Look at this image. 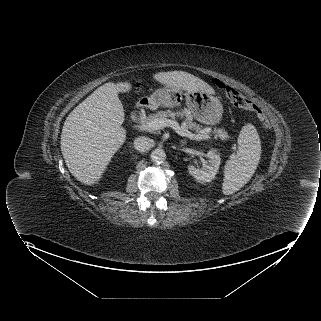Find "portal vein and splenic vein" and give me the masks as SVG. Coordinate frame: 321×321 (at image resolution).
<instances>
[{
    "instance_id": "obj_1",
    "label": "portal vein and splenic vein",
    "mask_w": 321,
    "mask_h": 321,
    "mask_svg": "<svg viewBox=\"0 0 321 321\" xmlns=\"http://www.w3.org/2000/svg\"><path fill=\"white\" fill-rule=\"evenodd\" d=\"M165 127L173 128L179 135L188 137L191 140H203L210 138L207 133L201 134H193L192 132L188 131L187 129H183L179 126L178 122L171 119H155L146 125H140V130H148V131H155L159 129H163Z\"/></svg>"
}]
</instances>
